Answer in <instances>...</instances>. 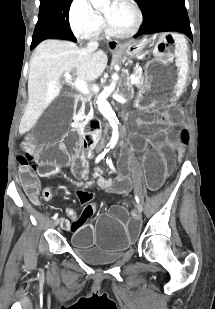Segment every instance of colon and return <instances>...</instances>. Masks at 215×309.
<instances>
[{"instance_id": "1", "label": "colon", "mask_w": 215, "mask_h": 309, "mask_svg": "<svg viewBox=\"0 0 215 309\" xmlns=\"http://www.w3.org/2000/svg\"><path fill=\"white\" fill-rule=\"evenodd\" d=\"M179 139L183 143H187L189 140V134L186 129H182L179 135ZM35 156L41 157L42 152H38L36 154H31V153H25V154H20L18 157V162L20 165L23 166L24 169H30L34 168V160ZM47 157V156H43ZM56 170V164L54 160H49L48 158H41L40 160V166H39V171L41 174H47V173H53ZM42 196L44 199H50L52 196V192L50 188H45L42 192ZM96 213V205L94 203L89 204L85 209H84V216L87 218L93 217Z\"/></svg>"}]
</instances>
